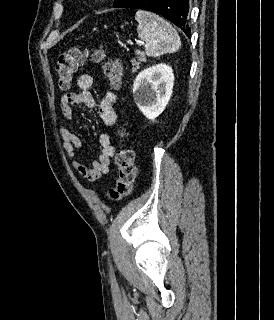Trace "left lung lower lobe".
Returning a JSON list of instances; mask_svg holds the SVG:
<instances>
[{
    "mask_svg": "<svg viewBox=\"0 0 274 320\" xmlns=\"http://www.w3.org/2000/svg\"><path fill=\"white\" fill-rule=\"evenodd\" d=\"M123 8H137L155 12L173 22L189 37V0H129Z\"/></svg>",
    "mask_w": 274,
    "mask_h": 320,
    "instance_id": "left-lung-lower-lobe-1",
    "label": "left lung lower lobe"
}]
</instances>
